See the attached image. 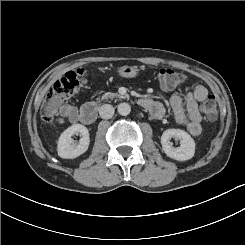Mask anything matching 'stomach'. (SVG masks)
<instances>
[{"label": "stomach", "mask_w": 245, "mask_h": 245, "mask_svg": "<svg viewBox=\"0 0 245 245\" xmlns=\"http://www.w3.org/2000/svg\"><path fill=\"white\" fill-rule=\"evenodd\" d=\"M141 70L142 68L138 65H123L116 72L121 78L133 79L139 76Z\"/></svg>", "instance_id": "0dacf381"}]
</instances>
